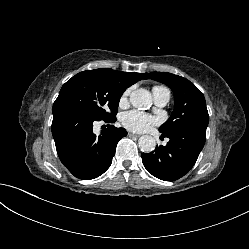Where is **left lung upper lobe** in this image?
<instances>
[{"mask_svg":"<svg viewBox=\"0 0 249 249\" xmlns=\"http://www.w3.org/2000/svg\"><path fill=\"white\" fill-rule=\"evenodd\" d=\"M146 79H154L169 86L175 98L171 117L160 126L162 134L183 128H207L209 115L202 92L189 80L165 72H151Z\"/></svg>","mask_w":249,"mask_h":249,"instance_id":"obj_1","label":"left lung upper lobe"}]
</instances>
